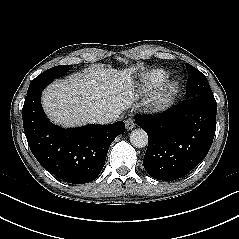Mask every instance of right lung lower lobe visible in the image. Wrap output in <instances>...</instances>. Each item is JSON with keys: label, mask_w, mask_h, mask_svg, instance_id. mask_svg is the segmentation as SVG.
<instances>
[{"label": "right lung lower lobe", "mask_w": 239, "mask_h": 239, "mask_svg": "<svg viewBox=\"0 0 239 239\" xmlns=\"http://www.w3.org/2000/svg\"><path fill=\"white\" fill-rule=\"evenodd\" d=\"M48 84L29 86L22 109L24 132L38 162L68 183L84 184L101 172L112 141L125 131L122 121L62 129L47 119L40 95Z\"/></svg>", "instance_id": "obj_1"}]
</instances>
